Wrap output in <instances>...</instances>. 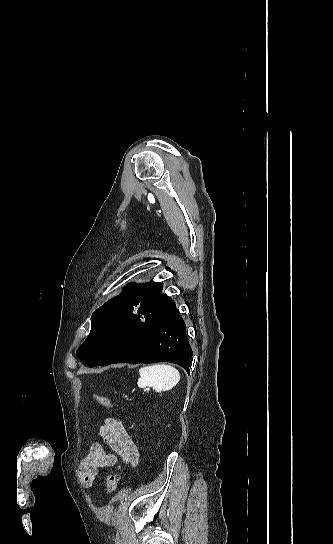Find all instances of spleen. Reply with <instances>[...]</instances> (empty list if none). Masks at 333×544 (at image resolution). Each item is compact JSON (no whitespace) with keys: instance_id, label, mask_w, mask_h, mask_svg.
<instances>
[{"instance_id":"obj_1","label":"spleen","mask_w":333,"mask_h":544,"mask_svg":"<svg viewBox=\"0 0 333 544\" xmlns=\"http://www.w3.org/2000/svg\"><path fill=\"white\" fill-rule=\"evenodd\" d=\"M138 386L154 387L156 392L171 390L180 381L179 371L167 364L145 366L139 370Z\"/></svg>"}]
</instances>
